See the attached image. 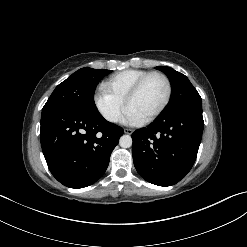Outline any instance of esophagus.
Instances as JSON below:
<instances>
[{
    "label": "esophagus",
    "mask_w": 247,
    "mask_h": 247,
    "mask_svg": "<svg viewBox=\"0 0 247 247\" xmlns=\"http://www.w3.org/2000/svg\"><path fill=\"white\" fill-rule=\"evenodd\" d=\"M124 133H125V134L131 135V134L133 133V130L130 129V128H125V129H124Z\"/></svg>",
    "instance_id": "esophagus-1"
}]
</instances>
